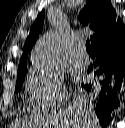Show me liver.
<instances>
[{
	"mask_svg": "<svg viewBox=\"0 0 125 128\" xmlns=\"http://www.w3.org/2000/svg\"><path fill=\"white\" fill-rule=\"evenodd\" d=\"M90 96L83 94L75 95L73 106L54 114L45 122V127L55 128H99L93 111L87 102Z\"/></svg>",
	"mask_w": 125,
	"mask_h": 128,
	"instance_id": "6515ba94",
	"label": "liver"
}]
</instances>
